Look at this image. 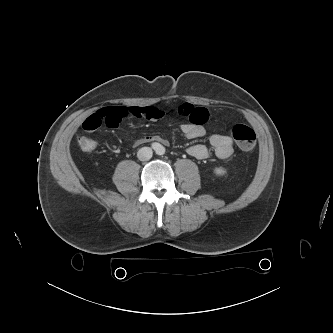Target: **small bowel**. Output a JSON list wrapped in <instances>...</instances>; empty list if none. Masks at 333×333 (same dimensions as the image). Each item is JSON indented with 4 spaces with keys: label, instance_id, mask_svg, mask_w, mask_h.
Returning <instances> with one entry per match:
<instances>
[{
    "label": "small bowel",
    "instance_id": "small-bowel-1",
    "mask_svg": "<svg viewBox=\"0 0 333 333\" xmlns=\"http://www.w3.org/2000/svg\"><path fill=\"white\" fill-rule=\"evenodd\" d=\"M177 113L187 121L180 126L182 133L190 139H198L206 134L204 123L208 120L209 112L204 107L194 106L191 103H183L177 108ZM159 120L164 117V112L154 107H106L89 115L82 123V128L92 132L102 124L111 128L117 127L127 116ZM157 141L168 144V140L160 135H143L135 144H144ZM213 150L221 159L229 158L234 152L233 138L223 134H212L209 136V146L197 143L187 148V153L196 159H206L210 150Z\"/></svg>",
    "mask_w": 333,
    "mask_h": 333
}]
</instances>
